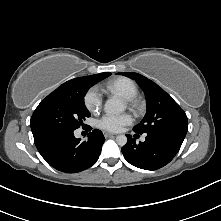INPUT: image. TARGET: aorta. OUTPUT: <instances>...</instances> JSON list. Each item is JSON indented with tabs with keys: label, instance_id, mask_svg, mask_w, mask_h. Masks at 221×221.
I'll use <instances>...</instances> for the list:
<instances>
[{
	"label": "aorta",
	"instance_id": "1",
	"mask_svg": "<svg viewBox=\"0 0 221 221\" xmlns=\"http://www.w3.org/2000/svg\"><path fill=\"white\" fill-rule=\"evenodd\" d=\"M104 110L108 114H120L125 110V105L118 98L112 97L106 101L104 105ZM116 143L119 146L126 145L127 137L125 135H118L116 137Z\"/></svg>",
	"mask_w": 221,
	"mask_h": 221
}]
</instances>
